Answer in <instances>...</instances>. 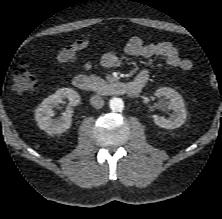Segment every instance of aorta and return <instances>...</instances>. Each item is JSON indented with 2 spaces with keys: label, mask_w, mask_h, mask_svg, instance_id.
Here are the masks:
<instances>
[{
  "label": "aorta",
  "mask_w": 222,
  "mask_h": 219,
  "mask_svg": "<svg viewBox=\"0 0 222 219\" xmlns=\"http://www.w3.org/2000/svg\"><path fill=\"white\" fill-rule=\"evenodd\" d=\"M109 105L111 110L114 112H121L124 108V103L120 98H112Z\"/></svg>",
  "instance_id": "aorta-1"
}]
</instances>
